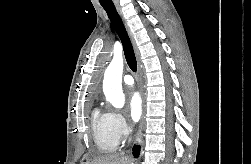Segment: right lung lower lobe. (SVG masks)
Segmentation results:
<instances>
[{
	"mask_svg": "<svg viewBox=\"0 0 251 164\" xmlns=\"http://www.w3.org/2000/svg\"><path fill=\"white\" fill-rule=\"evenodd\" d=\"M139 152H140V147L139 146H134V148H133L134 157L137 158L139 156Z\"/></svg>",
	"mask_w": 251,
	"mask_h": 164,
	"instance_id": "obj_1",
	"label": "right lung lower lobe"
}]
</instances>
